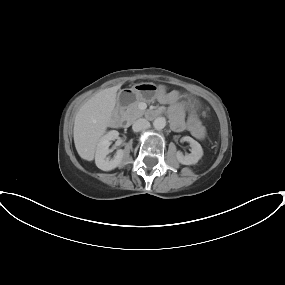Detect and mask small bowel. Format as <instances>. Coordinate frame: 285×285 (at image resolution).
<instances>
[{
  "label": "small bowel",
  "instance_id": "small-bowel-1",
  "mask_svg": "<svg viewBox=\"0 0 285 285\" xmlns=\"http://www.w3.org/2000/svg\"><path fill=\"white\" fill-rule=\"evenodd\" d=\"M157 99L163 104H169V114L175 130L187 129L191 134L201 140L205 136V131L199 120L191 116L187 121L184 120V106L179 101V93L177 91H167L161 88L157 93Z\"/></svg>",
  "mask_w": 285,
  "mask_h": 285
}]
</instances>
